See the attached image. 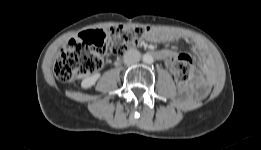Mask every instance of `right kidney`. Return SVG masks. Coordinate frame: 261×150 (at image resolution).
<instances>
[{
    "instance_id": "ca27d5eb",
    "label": "right kidney",
    "mask_w": 261,
    "mask_h": 150,
    "mask_svg": "<svg viewBox=\"0 0 261 150\" xmlns=\"http://www.w3.org/2000/svg\"><path fill=\"white\" fill-rule=\"evenodd\" d=\"M99 77H100L99 73H96V74H93L92 76L86 77L81 82V87L84 88V89H88V88L92 87L96 83V81L99 79Z\"/></svg>"
}]
</instances>
